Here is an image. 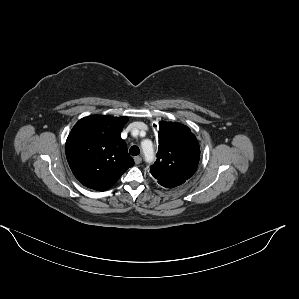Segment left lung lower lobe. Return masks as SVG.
Returning <instances> with one entry per match:
<instances>
[{
    "label": "left lung lower lobe",
    "mask_w": 299,
    "mask_h": 299,
    "mask_svg": "<svg viewBox=\"0 0 299 299\" xmlns=\"http://www.w3.org/2000/svg\"><path fill=\"white\" fill-rule=\"evenodd\" d=\"M187 179L158 180V183L166 188H174L183 184Z\"/></svg>",
    "instance_id": "0a47b994"
}]
</instances>
